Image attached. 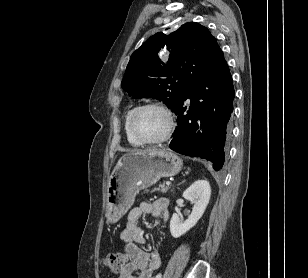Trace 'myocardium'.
<instances>
[{
  "label": "myocardium",
  "instance_id": "f54148a6",
  "mask_svg": "<svg viewBox=\"0 0 308 278\" xmlns=\"http://www.w3.org/2000/svg\"><path fill=\"white\" fill-rule=\"evenodd\" d=\"M147 108L159 109V110L163 111L165 113L166 117H167V121H168L167 129H166L165 133L157 139H148V138L143 137L142 135L139 134V132L137 131V129L135 127V119H136L137 115L141 111H143ZM174 127H175V122H174V117H173L171 110L168 107H166L164 104L159 103V102H149V103L139 105L132 111V113L129 117L130 132L134 136V138L137 139L142 144L154 145V144H160V143L167 141L170 138V136H171V134L174 130Z\"/></svg>",
  "mask_w": 308,
  "mask_h": 278
}]
</instances>
